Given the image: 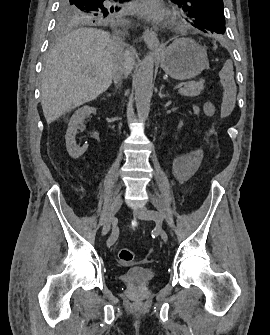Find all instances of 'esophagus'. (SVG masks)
<instances>
[{
	"label": "esophagus",
	"mask_w": 270,
	"mask_h": 335,
	"mask_svg": "<svg viewBox=\"0 0 270 335\" xmlns=\"http://www.w3.org/2000/svg\"><path fill=\"white\" fill-rule=\"evenodd\" d=\"M142 37L149 48H156L159 46V40L156 32L151 25H147L143 31Z\"/></svg>",
	"instance_id": "obj_1"
}]
</instances>
